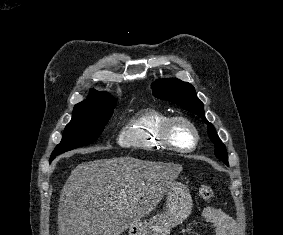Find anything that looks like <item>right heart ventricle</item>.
<instances>
[{"mask_svg":"<svg viewBox=\"0 0 283 235\" xmlns=\"http://www.w3.org/2000/svg\"><path fill=\"white\" fill-rule=\"evenodd\" d=\"M169 117L167 112L156 107L141 109L121 130L120 144L146 151L167 149L161 138V128Z\"/></svg>","mask_w":283,"mask_h":235,"instance_id":"obj_1","label":"right heart ventricle"}]
</instances>
